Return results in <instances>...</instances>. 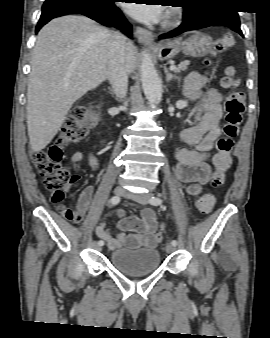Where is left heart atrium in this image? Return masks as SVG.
Instances as JSON below:
<instances>
[{"label": "left heart atrium", "instance_id": "left-heart-atrium-1", "mask_svg": "<svg viewBox=\"0 0 270 338\" xmlns=\"http://www.w3.org/2000/svg\"><path fill=\"white\" fill-rule=\"evenodd\" d=\"M124 9L136 19L145 22H157L162 18L163 15L162 7L160 5L124 3Z\"/></svg>", "mask_w": 270, "mask_h": 338}]
</instances>
